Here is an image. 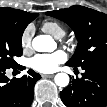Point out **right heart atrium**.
Masks as SVG:
<instances>
[{"instance_id": "d8ad5b80", "label": "right heart atrium", "mask_w": 107, "mask_h": 107, "mask_svg": "<svg viewBox=\"0 0 107 107\" xmlns=\"http://www.w3.org/2000/svg\"><path fill=\"white\" fill-rule=\"evenodd\" d=\"M33 34V27L31 25L27 26L21 35V46L23 49L29 50L31 48Z\"/></svg>"}]
</instances>
